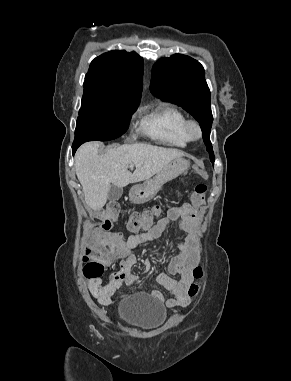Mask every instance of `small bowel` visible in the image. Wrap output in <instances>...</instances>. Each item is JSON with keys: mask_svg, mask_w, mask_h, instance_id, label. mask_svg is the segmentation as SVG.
Segmentation results:
<instances>
[{"mask_svg": "<svg viewBox=\"0 0 291 381\" xmlns=\"http://www.w3.org/2000/svg\"><path fill=\"white\" fill-rule=\"evenodd\" d=\"M197 209L184 203L171 207L167 210L165 218L159 220L147 232L131 235L124 239L118 231L111 232L103 236V243L109 244L111 255L121 259V270L110 276L109 281L104 284L100 277L89 278L88 286L91 294L102 305H109L115 292L123 285L137 284V278L132 274L137 259L132 254V250L150 241L157 240L167 229L170 221L179 222L180 229L185 233V238L177 245L179 253L174 256L167 268L166 273L158 276V282L172 295V298L165 300L162 292L153 291L154 297L165 303L169 308L185 307L190 303L188 288L193 281V269L199 262V252L197 249L196 235L194 233L195 221L198 218ZM99 238L97 230L88 234V249L94 247ZM148 265V263H147ZM171 275H178L179 280L173 279Z\"/></svg>", "mask_w": 291, "mask_h": 381, "instance_id": "small-bowel-1", "label": "small bowel"}]
</instances>
